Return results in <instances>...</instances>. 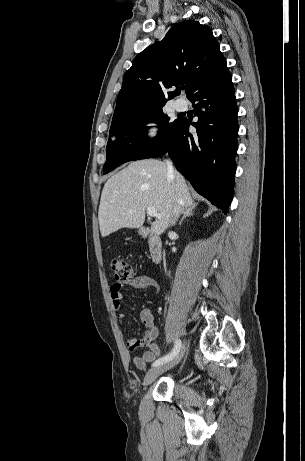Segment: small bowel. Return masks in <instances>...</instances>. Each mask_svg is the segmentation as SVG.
Returning a JSON list of instances; mask_svg holds the SVG:
<instances>
[{
  "mask_svg": "<svg viewBox=\"0 0 305 461\" xmlns=\"http://www.w3.org/2000/svg\"><path fill=\"white\" fill-rule=\"evenodd\" d=\"M123 286L137 290H145L150 295H154L159 290V283L156 279L149 276H139L133 280L126 282H113L110 286V297L113 308L117 312V317L121 323L124 322L125 316L121 313V304L123 300ZM140 319L145 326L143 338L137 339L129 336L126 338V346L129 352H135L139 348L148 347L149 350L143 352L141 356L133 358L134 365L140 369H146L147 365L160 356L161 351L157 344L159 328L156 322L155 315L149 308H143L140 311Z\"/></svg>",
  "mask_w": 305,
  "mask_h": 461,
  "instance_id": "c3829d8e",
  "label": "small bowel"
}]
</instances>
